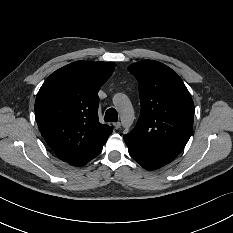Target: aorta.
<instances>
[{"mask_svg": "<svg viewBox=\"0 0 233 233\" xmlns=\"http://www.w3.org/2000/svg\"><path fill=\"white\" fill-rule=\"evenodd\" d=\"M113 104L120 113L121 122L129 127L134 121V110L129 98L125 94H116L113 98Z\"/></svg>", "mask_w": 233, "mask_h": 233, "instance_id": "762f6f07", "label": "aorta"}]
</instances>
